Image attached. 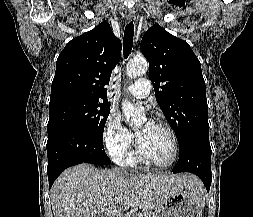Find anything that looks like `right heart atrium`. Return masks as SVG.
I'll return each instance as SVG.
<instances>
[{"mask_svg": "<svg viewBox=\"0 0 253 217\" xmlns=\"http://www.w3.org/2000/svg\"><path fill=\"white\" fill-rule=\"evenodd\" d=\"M104 143L116 161H122L127 157L133 146L134 135L122 125L120 118L114 113H111L106 121Z\"/></svg>", "mask_w": 253, "mask_h": 217, "instance_id": "obj_1", "label": "right heart atrium"}]
</instances>
